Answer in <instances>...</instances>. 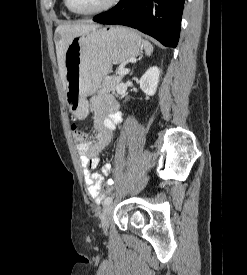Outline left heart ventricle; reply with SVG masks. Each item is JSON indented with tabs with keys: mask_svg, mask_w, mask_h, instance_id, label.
<instances>
[{
	"mask_svg": "<svg viewBox=\"0 0 247 275\" xmlns=\"http://www.w3.org/2000/svg\"><path fill=\"white\" fill-rule=\"evenodd\" d=\"M109 0H69L70 6L77 11H91L107 3Z\"/></svg>",
	"mask_w": 247,
	"mask_h": 275,
	"instance_id": "b2bd125f",
	"label": "left heart ventricle"
}]
</instances>
